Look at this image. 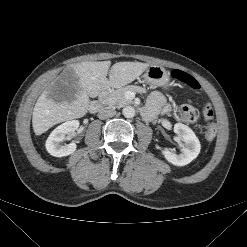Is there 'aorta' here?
<instances>
[{
    "label": "aorta",
    "instance_id": "762f6f07",
    "mask_svg": "<svg viewBox=\"0 0 247 247\" xmlns=\"http://www.w3.org/2000/svg\"><path fill=\"white\" fill-rule=\"evenodd\" d=\"M122 113H123L124 117L132 118L135 116V109L132 106H127V107L123 108Z\"/></svg>",
    "mask_w": 247,
    "mask_h": 247
}]
</instances>
